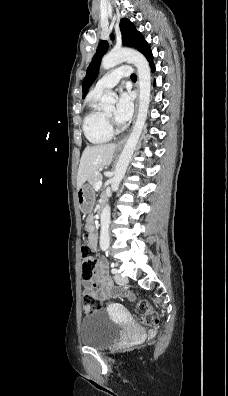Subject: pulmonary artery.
I'll return each mask as SVG.
<instances>
[{"instance_id":"1","label":"pulmonary artery","mask_w":228,"mask_h":396,"mask_svg":"<svg viewBox=\"0 0 228 396\" xmlns=\"http://www.w3.org/2000/svg\"><path fill=\"white\" fill-rule=\"evenodd\" d=\"M130 75V68L126 65L118 67L117 69L105 74L95 84L92 92L95 94H101L104 91L113 88L118 84L121 78L128 77Z\"/></svg>"}]
</instances>
